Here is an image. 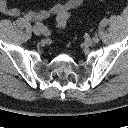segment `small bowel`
I'll return each instance as SVG.
<instances>
[{
  "mask_svg": "<svg viewBox=\"0 0 128 128\" xmlns=\"http://www.w3.org/2000/svg\"><path fill=\"white\" fill-rule=\"evenodd\" d=\"M82 1L83 0H67L63 3H56L49 9L28 11L24 17L26 20L35 22L37 25H40L41 21L49 18L51 15H56L63 10H73L78 8ZM0 13L8 17H19L21 14L18 8L9 6L7 0H0Z\"/></svg>",
  "mask_w": 128,
  "mask_h": 128,
  "instance_id": "1",
  "label": "small bowel"
}]
</instances>
